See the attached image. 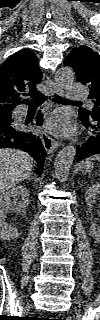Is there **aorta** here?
<instances>
[{
    "instance_id": "obj_1",
    "label": "aorta",
    "mask_w": 100,
    "mask_h": 320,
    "mask_svg": "<svg viewBox=\"0 0 100 320\" xmlns=\"http://www.w3.org/2000/svg\"><path fill=\"white\" fill-rule=\"evenodd\" d=\"M75 74L70 67H61L57 70L55 75L56 82L61 87H68L74 82ZM76 155L74 146L64 147L57 155L54 168L55 176L61 181L65 182L69 177L70 167Z\"/></svg>"
}]
</instances>
